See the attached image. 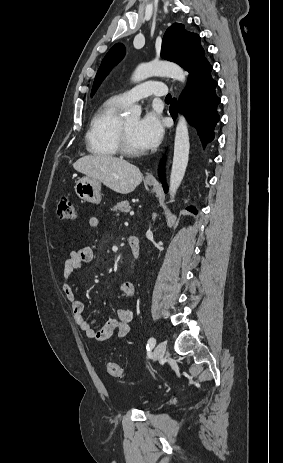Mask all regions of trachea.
Instances as JSON below:
<instances>
[{"mask_svg":"<svg viewBox=\"0 0 283 463\" xmlns=\"http://www.w3.org/2000/svg\"><path fill=\"white\" fill-rule=\"evenodd\" d=\"M166 101H170L171 100V94H168L165 98Z\"/></svg>","mask_w":283,"mask_h":463,"instance_id":"1","label":"trachea"}]
</instances>
